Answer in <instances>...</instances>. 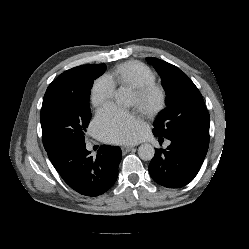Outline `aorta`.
I'll use <instances>...</instances> for the list:
<instances>
[{
    "mask_svg": "<svg viewBox=\"0 0 249 249\" xmlns=\"http://www.w3.org/2000/svg\"><path fill=\"white\" fill-rule=\"evenodd\" d=\"M115 99L121 105H129L130 94L126 88H119L115 92ZM138 155L144 161H150L155 155L154 147L149 143L141 144L138 148Z\"/></svg>",
    "mask_w": 249,
    "mask_h": 249,
    "instance_id": "aorta-1",
    "label": "aorta"
}]
</instances>
